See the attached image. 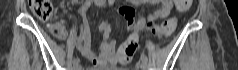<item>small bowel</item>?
Masks as SVG:
<instances>
[{"label": "small bowel", "mask_w": 238, "mask_h": 70, "mask_svg": "<svg viewBox=\"0 0 238 70\" xmlns=\"http://www.w3.org/2000/svg\"><path fill=\"white\" fill-rule=\"evenodd\" d=\"M135 3H146L149 5H158L153 13L148 15L147 19H163L169 16L172 7L174 6V0H137ZM87 4V3H86ZM177 8V7H176ZM119 12L124 16L128 29L134 30L138 26L134 24L135 12L132 8L122 7ZM59 30L58 33H54V29ZM52 33L58 39L67 40L68 34L63 21H57L51 25ZM111 33V25L107 21H103L100 25V43L98 52H95L90 45V33L87 22L83 19L80 26L79 36L72 40L79 52L86 59L90 60L93 66L90 69H106L108 67H114L120 59H116L117 47L115 41H109ZM135 33V32H134Z\"/></svg>", "instance_id": "obj_1"}]
</instances>
